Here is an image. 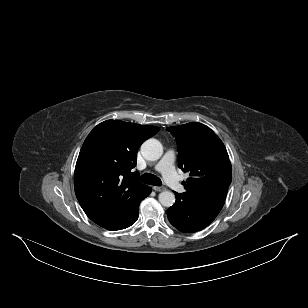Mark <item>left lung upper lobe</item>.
<instances>
[{
	"instance_id": "5c2ea615",
	"label": "left lung upper lobe",
	"mask_w": 308,
	"mask_h": 308,
	"mask_svg": "<svg viewBox=\"0 0 308 308\" xmlns=\"http://www.w3.org/2000/svg\"><path fill=\"white\" fill-rule=\"evenodd\" d=\"M167 130L176 138L179 168L190 172L182 193L187 199L228 188L231 162L223 142L209 127L191 122Z\"/></svg>"
}]
</instances>
